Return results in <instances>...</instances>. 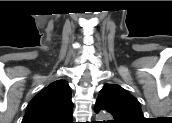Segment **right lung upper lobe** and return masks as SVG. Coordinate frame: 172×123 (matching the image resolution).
<instances>
[{
    "instance_id": "cb5924a9",
    "label": "right lung upper lobe",
    "mask_w": 172,
    "mask_h": 123,
    "mask_svg": "<svg viewBox=\"0 0 172 123\" xmlns=\"http://www.w3.org/2000/svg\"><path fill=\"white\" fill-rule=\"evenodd\" d=\"M71 89L65 80H57L30 101L22 123H72Z\"/></svg>"
}]
</instances>
